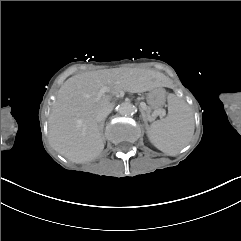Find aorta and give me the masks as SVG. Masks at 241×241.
<instances>
[{"instance_id": "aorta-1", "label": "aorta", "mask_w": 241, "mask_h": 241, "mask_svg": "<svg viewBox=\"0 0 241 241\" xmlns=\"http://www.w3.org/2000/svg\"><path fill=\"white\" fill-rule=\"evenodd\" d=\"M118 111L123 116H130L133 115L135 106L130 102H123L119 105Z\"/></svg>"}]
</instances>
